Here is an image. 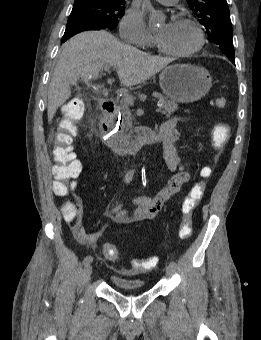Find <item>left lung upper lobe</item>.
Wrapping results in <instances>:
<instances>
[{
  "label": "left lung upper lobe",
  "mask_w": 261,
  "mask_h": 340,
  "mask_svg": "<svg viewBox=\"0 0 261 340\" xmlns=\"http://www.w3.org/2000/svg\"><path fill=\"white\" fill-rule=\"evenodd\" d=\"M187 2L207 30L208 39L219 45L229 59H234L233 28L226 0H187Z\"/></svg>",
  "instance_id": "obj_1"
}]
</instances>
